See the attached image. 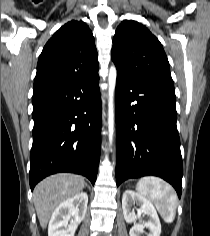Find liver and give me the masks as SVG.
<instances>
[{"mask_svg":"<svg viewBox=\"0 0 210 236\" xmlns=\"http://www.w3.org/2000/svg\"><path fill=\"white\" fill-rule=\"evenodd\" d=\"M84 178L73 174H56L42 180L34 189L33 201L42 229L63 201L79 194L85 187Z\"/></svg>","mask_w":210,"mask_h":236,"instance_id":"obj_1","label":"liver"}]
</instances>
